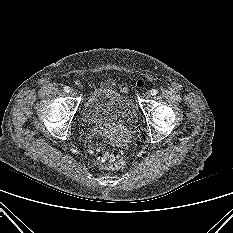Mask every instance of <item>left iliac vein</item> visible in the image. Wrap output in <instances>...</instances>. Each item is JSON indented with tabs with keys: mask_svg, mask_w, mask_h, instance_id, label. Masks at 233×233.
Listing matches in <instances>:
<instances>
[{
	"mask_svg": "<svg viewBox=\"0 0 233 233\" xmlns=\"http://www.w3.org/2000/svg\"><path fill=\"white\" fill-rule=\"evenodd\" d=\"M143 97L144 99H149L151 97V91H147Z\"/></svg>",
	"mask_w": 233,
	"mask_h": 233,
	"instance_id": "1",
	"label": "left iliac vein"
}]
</instances>
